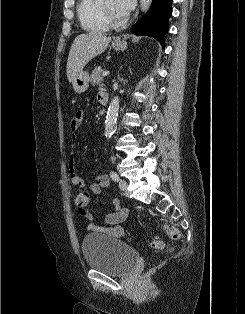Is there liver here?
Masks as SVG:
<instances>
[{"label": "liver", "mask_w": 245, "mask_h": 314, "mask_svg": "<svg viewBox=\"0 0 245 314\" xmlns=\"http://www.w3.org/2000/svg\"><path fill=\"white\" fill-rule=\"evenodd\" d=\"M111 37L99 32L78 35L72 45L67 60V78L72 82L76 75L95 56L103 53L108 47Z\"/></svg>", "instance_id": "6515ba94"}]
</instances>
